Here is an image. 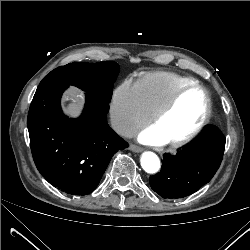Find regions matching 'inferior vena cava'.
<instances>
[{
	"label": "inferior vena cava",
	"instance_id": "602c4592",
	"mask_svg": "<svg viewBox=\"0 0 250 250\" xmlns=\"http://www.w3.org/2000/svg\"><path fill=\"white\" fill-rule=\"evenodd\" d=\"M111 127L117 134L121 136H124V137L134 136V130L132 126L124 120L117 119V118L111 119Z\"/></svg>",
	"mask_w": 250,
	"mask_h": 250
}]
</instances>
